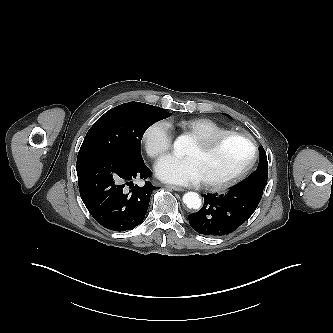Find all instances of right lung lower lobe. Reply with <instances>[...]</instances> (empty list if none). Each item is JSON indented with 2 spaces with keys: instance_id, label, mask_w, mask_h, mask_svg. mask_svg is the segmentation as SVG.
Here are the masks:
<instances>
[{
  "instance_id": "obj_1",
  "label": "right lung lower lobe",
  "mask_w": 333,
  "mask_h": 333,
  "mask_svg": "<svg viewBox=\"0 0 333 333\" xmlns=\"http://www.w3.org/2000/svg\"><path fill=\"white\" fill-rule=\"evenodd\" d=\"M76 170L81 198L99 224L125 231L143 221L156 188L150 182L133 187V179L151 175L144 161L132 162L107 153L84 154L77 157ZM126 185L132 188L129 192Z\"/></svg>"
}]
</instances>
